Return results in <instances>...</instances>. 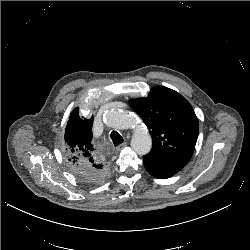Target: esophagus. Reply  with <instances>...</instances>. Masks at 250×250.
Segmentation results:
<instances>
[{"label":"esophagus","mask_w":250,"mask_h":250,"mask_svg":"<svg viewBox=\"0 0 250 250\" xmlns=\"http://www.w3.org/2000/svg\"><path fill=\"white\" fill-rule=\"evenodd\" d=\"M127 146V143L126 142H124V143H122V144H120L117 148H116V150L117 151H120V150H122L124 147H126Z\"/></svg>","instance_id":"34e87169"}]
</instances>
